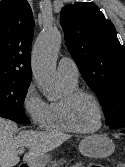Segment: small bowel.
<instances>
[{"mask_svg":"<svg viewBox=\"0 0 125 167\" xmlns=\"http://www.w3.org/2000/svg\"><path fill=\"white\" fill-rule=\"evenodd\" d=\"M72 167H102L101 165H97V164H92V165H89V166H85L83 164H76Z\"/></svg>","mask_w":125,"mask_h":167,"instance_id":"1","label":"small bowel"}]
</instances>
